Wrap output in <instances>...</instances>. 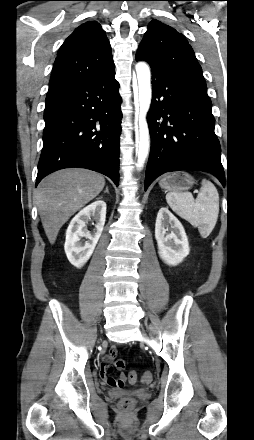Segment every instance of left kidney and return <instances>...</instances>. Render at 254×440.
Segmentation results:
<instances>
[{"label": "left kidney", "mask_w": 254, "mask_h": 440, "mask_svg": "<svg viewBox=\"0 0 254 440\" xmlns=\"http://www.w3.org/2000/svg\"><path fill=\"white\" fill-rule=\"evenodd\" d=\"M155 238L158 253L168 265H178L189 254L185 230L180 221L166 207H162L157 214Z\"/></svg>", "instance_id": "5707ae66"}]
</instances>
